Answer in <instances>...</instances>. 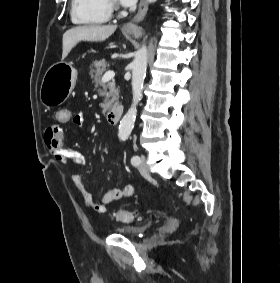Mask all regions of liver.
I'll list each match as a JSON object with an SVG mask.
<instances>
[{
	"instance_id": "liver-1",
	"label": "liver",
	"mask_w": 280,
	"mask_h": 283,
	"mask_svg": "<svg viewBox=\"0 0 280 283\" xmlns=\"http://www.w3.org/2000/svg\"><path fill=\"white\" fill-rule=\"evenodd\" d=\"M116 25H84L67 30L63 35L62 59L81 41L102 42L116 30Z\"/></svg>"
}]
</instances>
